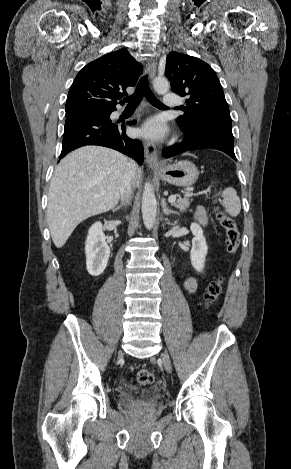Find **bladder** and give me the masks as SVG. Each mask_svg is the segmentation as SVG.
<instances>
[{"instance_id":"1","label":"bladder","mask_w":291,"mask_h":469,"mask_svg":"<svg viewBox=\"0 0 291 469\" xmlns=\"http://www.w3.org/2000/svg\"><path fill=\"white\" fill-rule=\"evenodd\" d=\"M140 397H141V398H147V397H148V393H147V392H142V393L140 394Z\"/></svg>"}]
</instances>
